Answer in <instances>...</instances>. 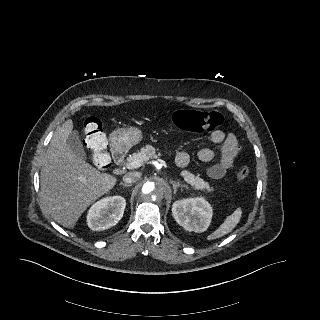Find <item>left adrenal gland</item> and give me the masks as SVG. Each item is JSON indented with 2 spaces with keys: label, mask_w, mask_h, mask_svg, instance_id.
<instances>
[{
  "label": "left adrenal gland",
  "mask_w": 320,
  "mask_h": 320,
  "mask_svg": "<svg viewBox=\"0 0 320 320\" xmlns=\"http://www.w3.org/2000/svg\"><path fill=\"white\" fill-rule=\"evenodd\" d=\"M170 183L173 185L174 192H176L179 187L188 189L187 185L180 184L179 182L170 181Z\"/></svg>",
  "instance_id": "obj_1"
}]
</instances>
